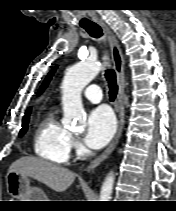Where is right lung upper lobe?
I'll list each match as a JSON object with an SVG mask.
<instances>
[{"instance_id":"1","label":"right lung upper lobe","mask_w":176,"mask_h":211,"mask_svg":"<svg viewBox=\"0 0 176 211\" xmlns=\"http://www.w3.org/2000/svg\"><path fill=\"white\" fill-rule=\"evenodd\" d=\"M29 113H30V109L27 110V112L25 113V115H27V114H29Z\"/></svg>"}]
</instances>
